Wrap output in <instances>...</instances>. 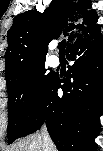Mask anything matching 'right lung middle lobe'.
<instances>
[{
  "label": "right lung middle lobe",
  "instance_id": "obj_1",
  "mask_svg": "<svg viewBox=\"0 0 103 151\" xmlns=\"http://www.w3.org/2000/svg\"><path fill=\"white\" fill-rule=\"evenodd\" d=\"M55 73L46 74L44 63L29 67L15 77L8 90V144L20 138L36 113Z\"/></svg>",
  "mask_w": 103,
  "mask_h": 151
}]
</instances>
